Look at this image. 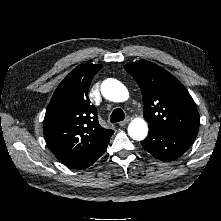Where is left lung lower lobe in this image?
<instances>
[{"label": "left lung lower lobe", "instance_id": "left-lung-lower-lobe-1", "mask_svg": "<svg viewBox=\"0 0 221 221\" xmlns=\"http://www.w3.org/2000/svg\"><path fill=\"white\" fill-rule=\"evenodd\" d=\"M196 136L149 129L148 137L141 142L143 148L162 161L179 158L193 143Z\"/></svg>", "mask_w": 221, "mask_h": 221}]
</instances>
